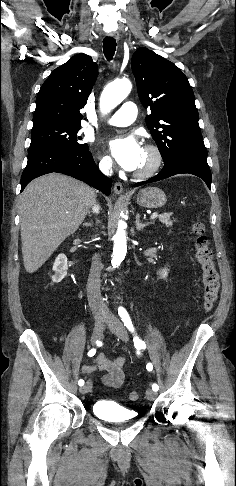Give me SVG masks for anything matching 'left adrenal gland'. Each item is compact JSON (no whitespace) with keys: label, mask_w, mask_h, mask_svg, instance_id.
I'll return each mask as SVG.
<instances>
[{"label":"left adrenal gland","mask_w":236,"mask_h":486,"mask_svg":"<svg viewBox=\"0 0 236 486\" xmlns=\"http://www.w3.org/2000/svg\"><path fill=\"white\" fill-rule=\"evenodd\" d=\"M135 224H136V229H137L138 231H140L141 229L145 228L146 226L150 225L151 223H149V222H148V223H141V222H140V215H139V214H137V215H136V221H135Z\"/></svg>","instance_id":"left-adrenal-gland-1"}]
</instances>
